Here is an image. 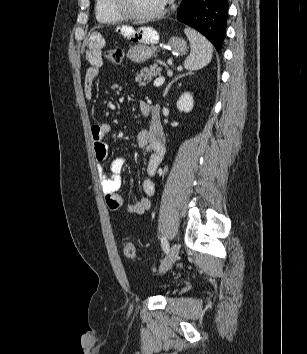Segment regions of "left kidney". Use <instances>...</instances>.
I'll return each mask as SVG.
<instances>
[{
	"label": "left kidney",
	"mask_w": 307,
	"mask_h": 354,
	"mask_svg": "<svg viewBox=\"0 0 307 354\" xmlns=\"http://www.w3.org/2000/svg\"><path fill=\"white\" fill-rule=\"evenodd\" d=\"M193 106H194L193 96L189 92L183 93L180 96L179 100L177 101V108L180 111H183L185 113L190 112Z\"/></svg>",
	"instance_id": "left-kidney-1"
}]
</instances>
